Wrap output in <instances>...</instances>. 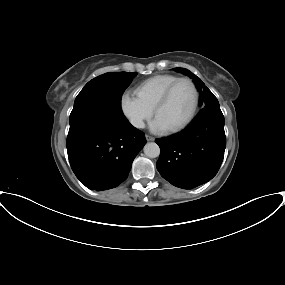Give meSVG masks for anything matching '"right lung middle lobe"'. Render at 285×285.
Segmentation results:
<instances>
[{"label": "right lung middle lobe", "mask_w": 285, "mask_h": 285, "mask_svg": "<svg viewBox=\"0 0 285 285\" xmlns=\"http://www.w3.org/2000/svg\"><path fill=\"white\" fill-rule=\"evenodd\" d=\"M136 75L135 72H110L89 81L75 99L69 123L90 113L125 118L121 96Z\"/></svg>", "instance_id": "right-lung-middle-lobe-1"}]
</instances>
